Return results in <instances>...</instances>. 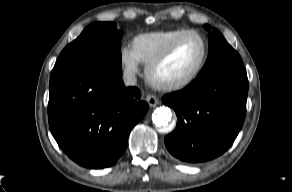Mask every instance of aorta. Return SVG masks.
<instances>
[{
    "label": "aorta",
    "mask_w": 292,
    "mask_h": 192,
    "mask_svg": "<svg viewBox=\"0 0 292 192\" xmlns=\"http://www.w3.org/2000/svg\"><path fill=\"white\" fill-rule=\"evenodd\" d=\"M152 120L161 132L168 133L172 130V112L168 107L157 108L153 112Z\"/></svg>",
    "instance_id": "obj_1"
}]
</instances>
